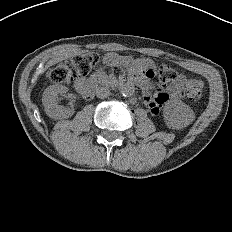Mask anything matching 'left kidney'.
I'll use <instances>...</instances> for the list:
<instances>
[{
	"instance_id": "1",
	"label": "left kidney",
	"mask_w": 232,
	"mask_h": 232,
	"mask_svg": "<svg viewBox=\"0 0 232 232\" xmlns=\"http://www.w3.org/2000/svg\"><path fill=\"white\" fill-rule=\"evenodd\" d=\"M163 117L168 128L177 130L187 127L195 120L194 111L180 100L166 105Z\"/></svg>"
}]
</instances>
